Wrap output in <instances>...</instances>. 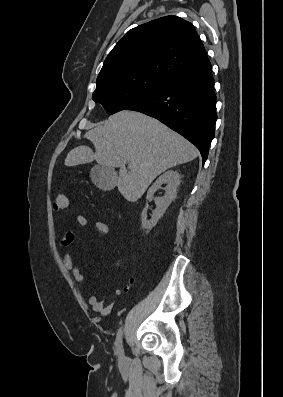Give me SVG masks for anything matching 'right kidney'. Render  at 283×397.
I'll return each mask as SVG.
<instances>
[{
  "label": "right kidney",
  "instance_id": "1",
  "mask_svg": "<svg viewBox=\"0 0 283 397\" xmlns=\"http://www.w3.org/2000/svg\"><path fill=\"white\" fill-rule=\"evenodd\" d=\"M166 183L165 195L160 198H153L154 193L161 188V185ZM180 184V174L177 171L169 170L159 176L154 184L149 188L147 192V200L152 201L154 199L156 209L150 219H147V207L142 211L141 221L142 227L145 230H151L162 217L168 206L174 200L177 194V188Z\"/></svg>",
  "mask_w": 283,
  "mask_h": 397
}]
</instances>
